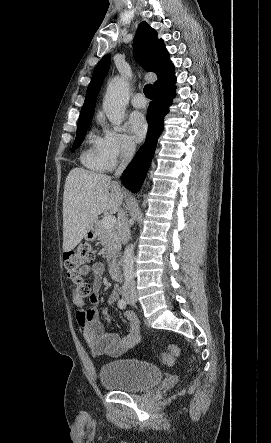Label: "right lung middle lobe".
<instances>
[{"mask_svg":"<svg viewBox=\"0 0 271 443\" xmlns=\"http://www.w3.org/2000/svg\"><path fill=\"white\" fill-rule=\"evenodd\" d=\"M92 120V117H87V118H83L78 120V125H77V133H76V138L72 147V151H74L75 149H77L83 142V139L85 137L86 134V130L88 128V126L90 125V122Z\"/></svg>","mask_w":271,"mask_h":443,"instance_id":"obj_1","label":"right lung middle lobe"}]
</instances>
